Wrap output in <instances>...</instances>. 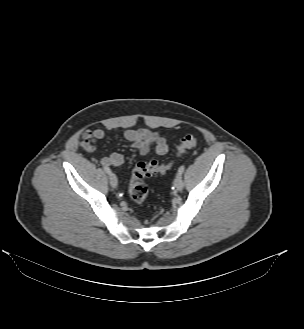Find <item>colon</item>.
I'll list each match as a JSON object with an SVG mask.
<instances>
[{
    "label": "colon",
    "mask_w": 304,
    "mask_h": 329,
    "mask_svg": "<svg viewBox=\"0 0 304 329\" xmlns=\"http://www.w3.org/2000/svg\"><path fill=\"white\" fill-rule=\"evenodd\" d=\"M199 139L194 135L184 136L175 149V156L180 157L188 149L195 147ZM174 165V161L159 163L155 160L149 162H139L132 171L128 193L130 198L136 203H143L149 193L148 186L144 183V179L156 175H165Z\"/></svg>",
    "instance_id": "obj_1"
}]
</instances>
